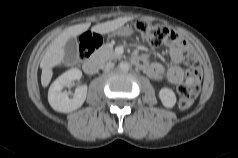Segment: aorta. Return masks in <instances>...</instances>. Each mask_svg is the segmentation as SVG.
I'll use <instances>...</instances> for the list:
<instances>
[{"instance_id":"aorta-1","label":"aorta","mask_w":238,"mask_h":158,"mask_svg":"<svg viewBox=\"0 0 238 158\" xmlns=\"http://www.w3.org/2000/svg\"><path fill=\"white\" fill-rule=\"evenodd\" d=\"M119 69H120V71H122V72H128L129 69H130V65H129V63H127V62H121V63L119 64Z\"/></svg>"}]
</instances>
